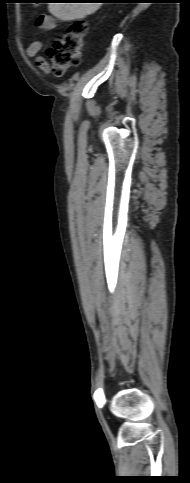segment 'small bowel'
<instances>
[{
  "instance_id": "c3829d8e",
  "label": "small bowel",
  "mask_w": 190,
  "mask_h": 483,
  "mask_svg": "<svg viewBox=\"0 0 190 483\" xmlns=\"http://www.w3.org/2000/svg\"><path fill=\"white\" fill-rule=\"evenodd\" d=\"M36 25L41 29L52 30L57 27V22L48 14H40L36 19ZM41 49L42 43L39 40H33L27 48V55L36 58V65L43 71H47L48 63L46 58L39 55Z\"/></svg>"
}]
</instances>
